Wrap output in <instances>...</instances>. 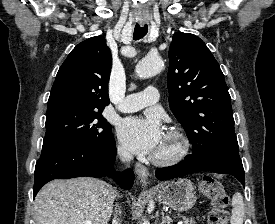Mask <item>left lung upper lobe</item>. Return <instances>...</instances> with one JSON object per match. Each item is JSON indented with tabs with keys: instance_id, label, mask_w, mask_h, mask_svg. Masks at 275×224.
Instances as JSON below:
<instances>
[{
	"instance_id": "obj_1",
	"label": "left lung upper lobe",
	"mask_w": 275,
	"mask_h": 224,
	"mask_svg": "<svg viewBox=\"0 0 275 224\" xmlns=\"http://www.w3.org/2000/svg\"><path fill=\"white\" fill-rule=\"evenodd\" d=\"M169 104L193 152L238 153L231 97L223 73L205 43L177 32L169 49Z\"/></svg>"
}]
</instances>
